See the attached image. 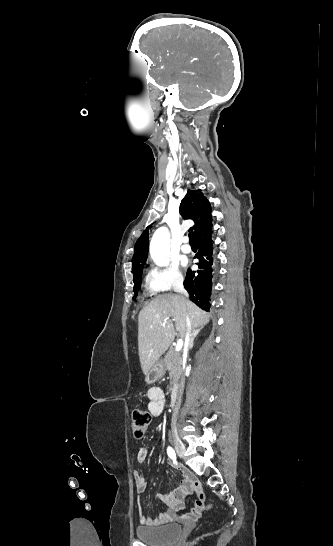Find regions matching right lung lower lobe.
Instances as JSON below:
<instances>
[{
    "label": "right lung lower lobe",
    "instance_id": "98d812e1",
    "mask_svg": "<svg viewBox=\"0 0 333 546\" xmlns=\"http://www.w3.org/2000/svg\"><path fill=\"white\" fill-rule=\"evenodd\" d=\"M212 226L195 238L198 252L194 258L199 269H188L184 281V287L190 295V300L201 309L209 311L211 307L212 279L215 275L216 260L213 253Z\"/></svg>",
    "mask_w": 333,
    "mask_h": 546
}]
</instances>
